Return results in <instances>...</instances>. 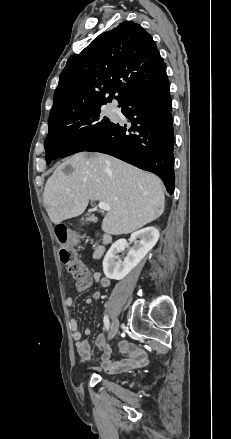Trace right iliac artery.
Wrapping results in <instances>:
<instances>
[{"label": "right iliac artery", "instance_id": "right-iliac-artery-1", "mask_svg": "<svg viewBox=\"0 0 231 439\" xmlns=\"http://www.w3.org/2000/svg\"><path fill=\"white\" fill-rule=\"evenodd\" d=\"M104 325H105L106 329L108 330L109 329V318L107 315H105V317H104Z\"/></svg>", "mask_w": 231, "mask_h": 439}]
</instances>
